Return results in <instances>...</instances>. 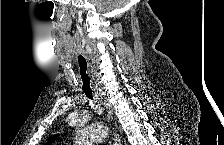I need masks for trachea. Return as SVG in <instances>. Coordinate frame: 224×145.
I'll use <instances>...</instances> for the list:
<instances>
[{"mask_svg": "<svg viewBox=\"0 0 224 145\" xmlns=\"http://www.w3.org/2000/svg\"><path fill=\"white\" fill-rule=\"evenodd\" d=\"M78 63H79V73L83 83L82 90L85 93L86 97L92 100L93 99L92 89L90 87V78L88 75L86 59L83 56H79Z\"/></svg>", "mask_w": 224, "mask_h": 145, "instance_id": "3493384b", "label": "trachea"}]
</instances>
